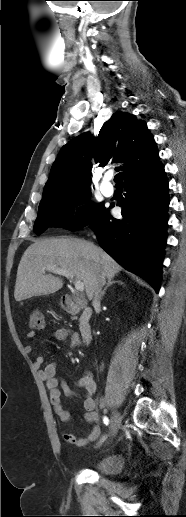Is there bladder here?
<instances>
[{
	"label": "bladder",
	"mask_w": 186,
	"mask_h": 517,
	"mask_svg": "<svg viewBox=\"0 0 186 517\" xmlns=\"http://www.w3.org/2000/svg\"><path fill=\"white\" fill-rule=\"evenodd\" d=\"M125 466V458L123 455H111L100 460L95 469L99 473L103 474H117L123 470Z\"/></svg>",
	"instance_id": "obj_1"
}]
</instances>
